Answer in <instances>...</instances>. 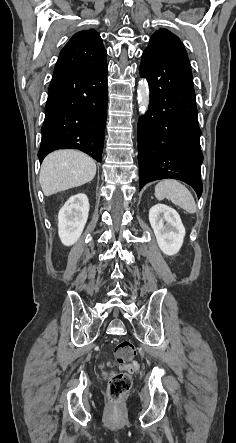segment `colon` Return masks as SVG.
Here are the masks:
<instances>
[{"label": "colon", "mask_w": 236, "mask_h": 443, "mask_svg": "<svg viewBox=\"0 0 236 443\" xmlns=\"http://www.w3.org/2000/svg\"><path fill=\"white\" fill-rule=\"evenodd\" d=\"M136 354L135 347L128 340L119 341L114 349L115 360L128 367L130 370H137L138 363L134 360ZM108 380V394L113 402H118L132 386V377L127 372L110 371L106 373Z\"/></svg>", "instance_id": "1"}]
</instances>
